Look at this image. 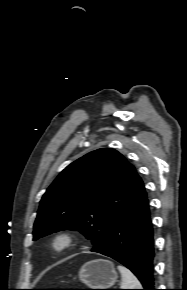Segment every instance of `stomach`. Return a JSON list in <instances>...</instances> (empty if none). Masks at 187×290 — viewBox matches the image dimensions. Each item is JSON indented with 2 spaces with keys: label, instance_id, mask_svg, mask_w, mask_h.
Returning a JSON list of instances; mask_svg holds the SVG:
<instances>
[{
  "label": "stomach",
  "instance_id": "1",
  "mask_svg": "<svg viewBox=\"0 0 187 290\" xmlns=\"http://www.w3.org/2000/svg\"><path fill=\"white\" fill-rule=\"evenodd\" d=\"M118 275L114 264L105 259H95L86 262L79 271V279L90 289H110Z\"/></svg>",
  "mask_w": 187,
  "mask_h": 290
}]
</instances>
